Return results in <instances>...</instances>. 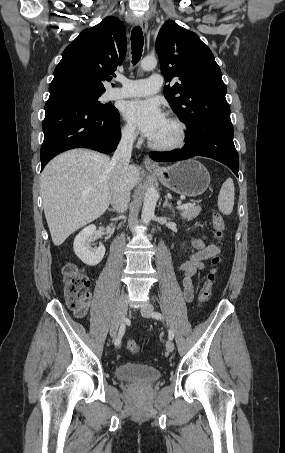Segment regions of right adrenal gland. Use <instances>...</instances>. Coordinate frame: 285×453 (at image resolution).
I'll list each match as a JSON object with an SVG mask.
<instances>
[{"label":"right adrenal gland","mask_w":285,"mask_h":453,"mask_svg":"<svg viewBox=\"0 0 285 453\" xmlns=\"http://www.w3.org/2000/svg\"><path fill=\"white\" fill-rule=\"evenodd\" d=\"M109 212H114L115 210L113 208L108 209Z\"/></svg>","instance_id":"1"}]
</instances>
